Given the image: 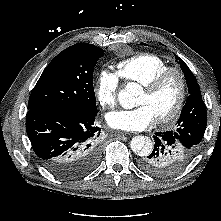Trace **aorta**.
<instances>
[{"mask_svg":"<svg viewBox=\"0 0 221 221\" xmlns=\"http://www.w3.org/2000/svg\"><path fill=\"white\" fill-rule=\"evenodd\" d=\"M141 86L137 83H128L124 90H121L118 95V100L122 107L131 109L135 104V97L140 93ZM130 147L133 152L143 156L147 152L151 151L153 144L151 140L147 139L143 135H138L132 138Z\"/></svg>","mask_w":221,"mask_h":221,"instance_id":"obj_1","label":"aorta"}]
</instances>
